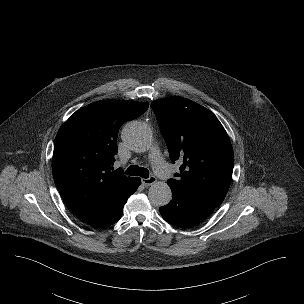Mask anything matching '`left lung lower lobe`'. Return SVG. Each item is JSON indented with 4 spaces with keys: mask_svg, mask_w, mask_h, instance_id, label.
<instances>
[{
    "mask_svg": "<svg viewBox=\"0 0 304 304\" xmlns=\"http://www.w3.org/2000/svg\"><path fill=\"white\" fill-rule=\"evenodd\" d=\"M173 199L166 206L160 207L162 217L169 223L189 228L205 220L216 207L196 201L188 196L172 191Z\"/></svg>",
    "mask_w": 304,
    "mask_h": 304,
    "instance_id": "left-lung-lower-lobe-1",
    "label": "left lung lower lobe"
}]
</instances>
